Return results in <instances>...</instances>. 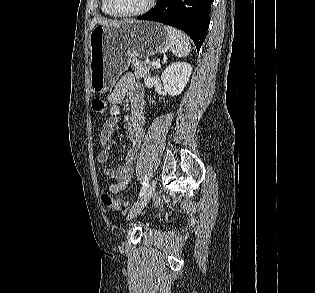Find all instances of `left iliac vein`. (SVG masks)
Returning <instances> with one entry per match:
<instances>
[{"label": "left iliac vein", "instance_id": "1", "mask_svg": "<svg viewBox=\"0 0 315 293\" xmlns=\"http://www.w3.org/2000/svg\"><path fill=\"white\" fill-rule=\"evenodd\" d=\"M155 191H156V181L152 180L150 184L148 185V188L143 194V196L131 208L128 214V218L132 219L136 217L144 209V207L149 203V201L155 194Z\"/></svg>", "mask_w": 315, "mask_h": 293}]
</instances>
